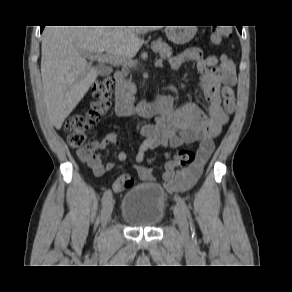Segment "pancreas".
Listing matches in <instances>:
<instances>
[{"mask_svg":"<svg viewBox=\"0 0 292 292\" xmlns=\"http://www.w3.org/2000/svg\"><path fill=\"white\" fill-rule=\"evenodd\" d=\"M152 49L154 52H158L162 58L171 57L172 55L171 47L161 40L154 41L152 43ZM124 87L129 93H133L135 91L134 86L130 82H125Z\"/></svg>","mask_w":292,"mask_h":292,"instance_id":"obj_1","label":"pancreas"}]
</instances>
